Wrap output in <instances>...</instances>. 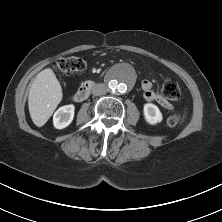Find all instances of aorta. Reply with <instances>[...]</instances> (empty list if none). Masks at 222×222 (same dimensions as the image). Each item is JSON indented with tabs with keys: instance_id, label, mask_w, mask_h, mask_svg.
<instances>
[{
	"instance_id": "aorta-1",
	"label": "aorta",
	"mask_w": 222,
	"mask_h": 222,
	"mask_svg": "<svg viewBox=\"0 0 222 222\" xmlns=\"http://www.w3.org/2000/svg\"><path fill=\"white\" fill-rule=\"evenodd\" d=\"M133 83L128 67L117 68L110 72L107 78L108 88L113 93H124Z\"/></svg>"
}]
</instances>
